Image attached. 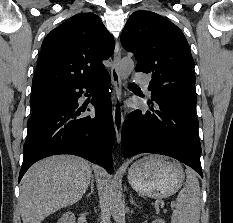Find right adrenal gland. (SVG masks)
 <instances>
[{
    "instance_id": "obj_1",
    "label": "right adrenal gland",
    "mask_w": 233,
    "mask_h": 223,
    "mask_svg": "<svg viewBox=\"0 0 233 223\" xmlns=\"http://www.w3.org/2000/svg\"><path fill=\"white\" fill-rule=\"evenodd\" d=\"M90 185H91V191H90V193H88V197H89V195H91V193H94V177H92V179L90 181Z\"/></svg>"
}]
</instances>
